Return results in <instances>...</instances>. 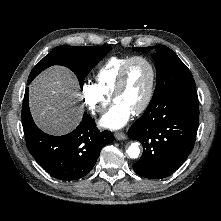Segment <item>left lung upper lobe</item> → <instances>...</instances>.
Instances as JSON below:
<instances>
[{"instance_id":"1","label":"left lung upper lobe","mask_w":221,"mask_h":221,"mask_svg":"<svg viewBox=\"0 0 221 221\" xmlns=\"http://www.w3.org/2000/svg\"><path fill=\"white\" fill-rule=\"evenodd\" d=\"M151 49L152 47L134 48L139 52ZM152 57L157 69V84L150 103L158 102L182 90L196 88L190 70L170 48L158 46Z\"/></svg>"}]
</instances>
